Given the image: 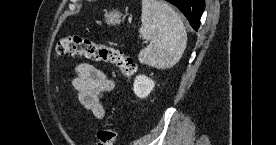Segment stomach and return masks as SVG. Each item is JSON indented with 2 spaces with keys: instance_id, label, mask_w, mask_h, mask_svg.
Instances as JSON below:
<instances>
[{
  "instance_id": "obj_1",
  "label": "stomach",
  "mask_w": 276,
  "mask_h": 145,
  "mask_svg": "<svg viewBox=\"0 0 276 145\" xmlns=\"http://www.w3.org/2000/svg\"><path fill=\"white\" fill-rule=\"evenodd\" d=\"M121 17H122V14L119 11L114 10V11H110L109 13L107 12L105 14V21L109 25H116V24H120L124 20V18L121 19Z\"/></svg>"
}]
</instances>
